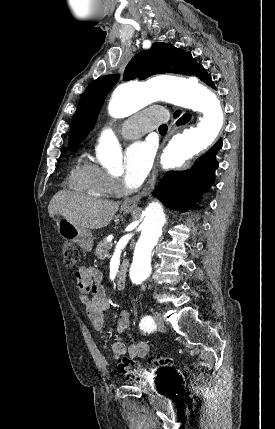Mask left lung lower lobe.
Instances as JSON below:
<instances>
[{
    "label": "left lung lower lobe",
    "mask_w": 275,
    "mask_h": 429,
    "mask_svg": "<svg viewBox=\"0 0 275 429\" xmlns=\"http://www.w3.org/2000/svg\"><path fill=\"white\" fill-rule=\"evenodd\" d=\"M197 77L207 85L215 89L214 83L206 70L200 68ZM180 112L176 111L174 116H179ZM190 119L189 114L183 115L177 125L187 123ZM222 147V141L219 140L205 155L199 157L191 169L186 171H169L159 183L153 195L159 197L164 204L171 209H200L195 204H189V200L206 191L214 183L215 170L218 162L215 160L217 151Z\"/></svg>",
    "instance_id": "left-lung-lower-lobe-1"
}]
</instances>
